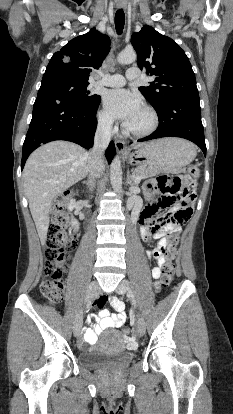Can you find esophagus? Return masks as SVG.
I'll return each instance as SVG.
<instances>
[{
  "mask_svg": "<svg viewBox=\"0 0 233 414\" xmlns=\"http://www.w3.org/2000/svg\"><path fill=\"white\" fill-rule=\"evenodd\" d=\"M118 8L119 9H125L126 8V4L125 2H123L122 0L118 3ZM115 147L118 153H122V154H126L127 153V149H126V145L125 142L122 140H116L115 141Z\"/></svg>",
  "mask_w": 233,
  "mask_h": 414,
  "instance_id": "obj_1",
  "label": "esophagus"
}]
</instances>
